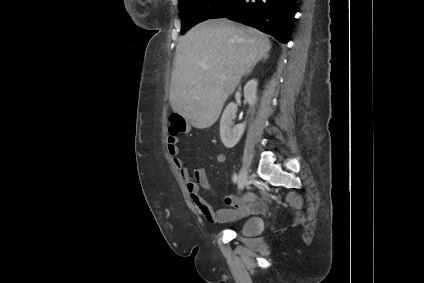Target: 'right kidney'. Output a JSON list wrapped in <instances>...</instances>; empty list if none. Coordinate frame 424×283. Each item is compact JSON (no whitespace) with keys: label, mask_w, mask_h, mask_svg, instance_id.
Instances as JSON below:
<instances>
[{"label":"right kidney","mask_w":424,"mask_h":283,"mask_svg":"<svg viewBox=\"0 0 424 283\" xmlns=\"http://www.w3.org/2000/svg\"><path fill=\"white\" fill-rule=\"evenodd\" d=\"M257 86L258 82L256 79L249 80L244 86V97L252 108L257 101ZM237 105L233 102L229 103L223 111L220 120V137L222 143L227 148L234 147L241 139L246 122L234 126V119L236 117Z\"/></svg>","instance_id":"1"}]
</instances>
